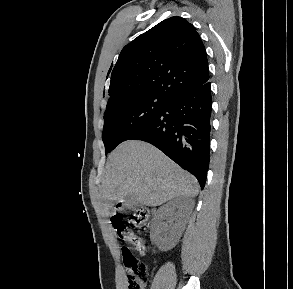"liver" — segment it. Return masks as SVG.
Wrapping results in <instances>:
<instances>
[{
	"instance_id": "obj_1",
	"label": "liver",
	"mask_w": 293,
	"mask_h": 289,
	"mask_svg": "<svg viewBox=\"0 0 293 289\" xmlns=\"http://www.w3.org/2000/svg\"><path fill=\"white\" fill-rule=\"evenodd\" d=\"M100 186L105 202L133 195L145 206H159L180 195L197 196V180L149 143L129 140L108 156Z\"/></svg>"
}]
</instances>
